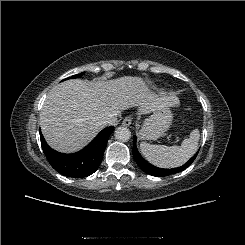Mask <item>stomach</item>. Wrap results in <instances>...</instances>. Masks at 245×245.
I'll return each instance as SVG.
<instances>
[{"instance_id":"1","label":"stomach","mask_w":245,"mask_h":245,"mask_svg":"<svg viewBox=\"0 0 245 245\" xmlns=\"http://www.w3.org/2000/svg\"><path fill=\"white\" fill-rule=\"evenodd\" d=\"M173 120V114L169 108L153 112L145 119L139 131L142 140H156L164 135Z\"/></svg>"}]
</instances>
